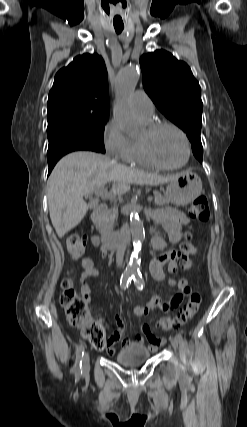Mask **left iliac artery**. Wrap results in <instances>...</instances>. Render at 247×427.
Instances as JSON below:
<instances>
[{
  "instance_id": "left-iliac-artery-1",
  "label": "left iliac artery",
  "mask_w": 247,
  "mask_h": 427,
  "mask_svg": "<svg viewBox=\"0 0 247 427\" xmlns=\"http://www.w3.org/2000/svg\"><path fill=\"white\" fill-rule=\"evenodd\" d=\"M133 281H134L135 286H136L139 290H142V289H143V287H144V279H143V277H142V275H141V273H140V272L135 273V274L133 275ZM176 337H177L180 341H182V335H181L180 333H178V334L176 335Z\"/></svg>"
}]
</instances>
